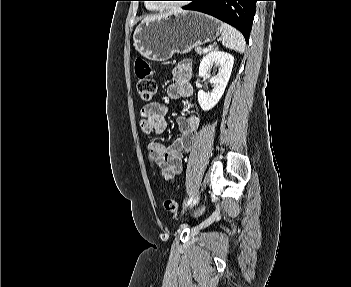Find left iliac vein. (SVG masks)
Here are the masks:
<instances>
[{"label":"left iliac vein","instance_id":"obj_1","mask_svg":"<svg viewBox=\"0 0 351 287\" xmlns=\"http://www.w3.org/2000/svg\"><path fill=\"white\" fill-rule=\"evenodd\" d=\"M198 201H199V196H197V197L193 200V202L190 204L189 208H193V207L198 203Z\"/></svg>","mask_w":351,"mask_h":287}]
</instances>
